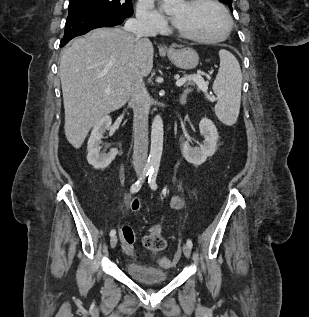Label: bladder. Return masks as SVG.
Wrapping results in <instances>:
<instances>
[{"label":"bladder","mask_w":309,"mask_h":317,"mask_svg":"<svg viewBox=\"0 0 309 317\" xmlns=\"http://www.w3.org/2000/svg\"><path fill=\"white\" fill-rule=\"evenodd\" d=\"M126 272L133 280L145 285L163 284L168 280V274L163 269L137 262H128Z\"/></svg>","instance_id":"31cf9c89"}]
</instances>
